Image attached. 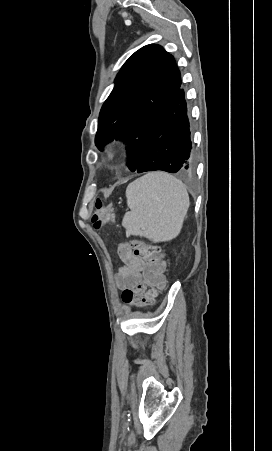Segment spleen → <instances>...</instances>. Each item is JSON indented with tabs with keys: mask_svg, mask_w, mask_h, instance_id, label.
Returning <instances> with one entry per match:
<instances>
[{
	"mask_svg": "<svg viewBox=\"0 0 272 451\" xmlns=\"http://www.w3.org/2000/svg\"><path fill=\"white\" fill-rule=\"evenodd\" d=\"M127 206L122 226L126 235H144L151 241L177 237L189 208L187 190L165 172H150L127 186Z\"/></svg>",
	"mask_w": 272,
	"mask_h": 451,
	"instance_id": "obj_1",
	"label": "spleen"
}]
</instances>
